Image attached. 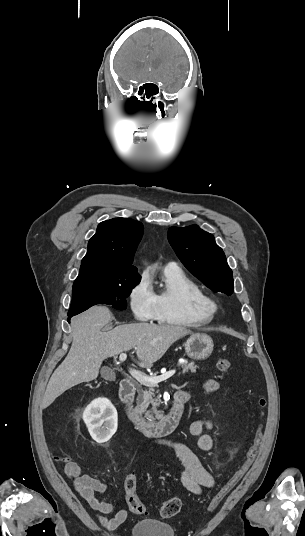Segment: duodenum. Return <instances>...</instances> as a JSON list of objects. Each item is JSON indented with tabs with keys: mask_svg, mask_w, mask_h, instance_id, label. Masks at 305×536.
<instances>
[{
	"mask_svg": "<svg viewBox=\"0 0 305 536\" xmlns=\"http://www.w3.org/2000/svg\"><path fill=\"white\" fill-rule=\"evenodd\" d=\"M119 397L124 405V413L137 431L149 437H161L173 431L179 421L186 397L182 391L174 395L172 407L160 420L156 422L147 421L140 413L135 411L132 403L135 397V385L130 379L122 382Z\"/></svg>",
	"mask_w": 305,
	"mask_h": 536,
	"instance_id": "1",
	"label": "duodenum"
}]
</instances>
